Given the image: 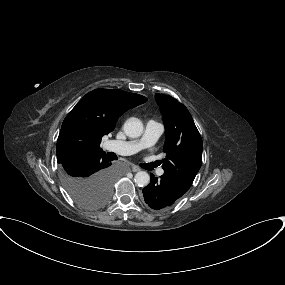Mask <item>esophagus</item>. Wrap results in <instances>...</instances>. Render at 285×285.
I'll return each mask as SVG.
<instances>
[{
	"mask_svg": "<svg viewBox=\"0 0 285 285\" xmlns=\"http://www.w3.org/2000/svg\"><path fill=\"white\" fill-rule=\"evenodd\" d=\"M131 169H132L133 172H138V171H140V168L137 167L136 165H132Z\"/></svg>",
	"mask_w": 285,
	"mask_h": 285,
	"instance_id": "obj_1",
	"label": "esophagus"
}]
</instances>
